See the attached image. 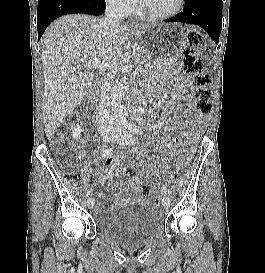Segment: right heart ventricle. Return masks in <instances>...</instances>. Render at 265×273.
Returning a JSON list of instances; mask_svg holds the SVG:
<instances>
[{"label":"right heart ventricle","mask_w":265,"mask_h":273,"mask_svg":"<svg viewBox=\"0 0 265 273\" xmlns=\"http://www.w3.org/2000/svg\"><path fill=\"white\" fill-rule=\"evenodd\" d=\"M136 14H137V15H140V11H136Z\"/></svg>","instance_id":"e07e8e85"}]
</instances>
